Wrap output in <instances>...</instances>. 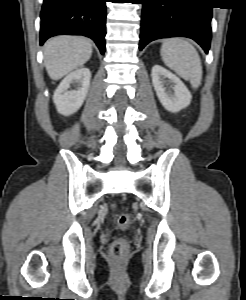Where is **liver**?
I'll return each instance as SVG.
<instances>
[{"label":"liver","mask_w":246,"mask_h":300,"mask_svg":"<svg viewBox=\"0 0 246 300\" xmlns=\"http://www.w3.org/2000/svg\"><path fill=\"white\" fill-rule=\"evenodd\" d=\"M91 55L92 44L83 37L56 36L44 45V65L53 80L83 66Z\"/></svg>","instance_id":"liver-1"}]
</instances>
